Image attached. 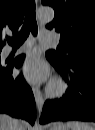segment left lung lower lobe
<instances>
[{
    "label": "left lung lower lobe",
    "instance_id": "1",
    "mask_svg": "<svg viewBox=\"0 0 95 130\" xmlns=\"http://www.w3.org/2000/svg\"><path fill=\"white\" fill-rule=\"evenodd\" d=\"M46 58L63 76L68 88L62 99L45 102L40 122L95 121V62H76L63 66L47 53Z\"/></svg>",
    "mask_w": 95,
    "mask_h": 130
}]
</instances>
